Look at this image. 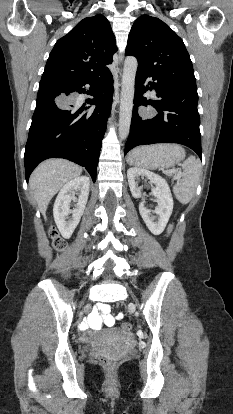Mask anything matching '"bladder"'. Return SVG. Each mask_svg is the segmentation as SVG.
Returning a JSON list of instances; mask_svg holds the SVG:
<instances>
[{
    "label": "bladder",
    "instance_id": "31cf9c89",
    "mask_svg": "<svg viewBox=\"0 0 233 414\" xmlns=\"http://www.w3.org/2000/svg\"><path fill=\"white\" fill-rule=\"evenodd\" d=\"M106 332L111 334L113 331H106Z\"/></svg>",
    "mask_w": 233,
    "mask_h": 414
}]
</instances>
